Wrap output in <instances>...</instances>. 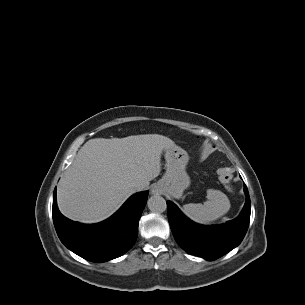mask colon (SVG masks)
Listing matches in <instances>:
<instances>
[{
    "label": "colon",
    "mask_w": 305,
    "mask_h": 305,
    "mask_svg": "<svg viewBox=\"0 0 305 305\" xmlns=\"http://www.w3.org/2000/svg\"><path fill=\"white\" fill-rule=\"evenodd\" d=\"M218 180L224 186L225 189H227L228 191L233 190V185H232L233 175L230 169L228 168L221 169L218 172Z\"/></svg>",
    "instance_id": "colon-1"
}]
</instances>
